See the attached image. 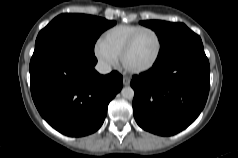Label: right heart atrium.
Wrapping results in <instances>:
<instances>
[{"label":"right heart atrium","mask_w":238,"mask_h":158,"mask_svg":"<svg viewBox=\"0 0 238 158\" xmlns=\"http://www.w3.org/2000/svg\"><path fill=\"white\" fill-rule=\"evenodd\" d=\"M94 53L99 62L105 67L116 65L118 57L111 52L101 41H98L94 47Z\"/></svg>","instance_id":"obj_1"}]
</instances>
